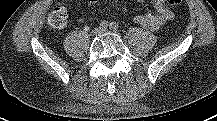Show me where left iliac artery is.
I'll return each mask as SVG.
<instances>
[{
    "mask_svg": "<svg viewBox=\"0 0 217 121\" xmlns=\"http://www.w3.org/2000/svg\"><path fill=\"white\" fill-rule=\"evenodd\" d=\"M110 29L113 30V31L117 30V29H118V24L115 23V22H112V23L110 24Z\"/></svg>",
    "mask_w": 217,
    "mask_h": 121,
    "instance_id": "left-iliac-artery-1",
    "label": "left iliac artery"
}]
</instances>
